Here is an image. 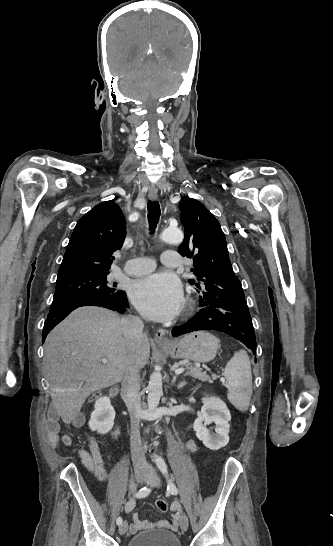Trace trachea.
<instances>
[{
	"instance_id": "obj_1",
	"label": "trachea",
	"mask_w": 333,
	"mask_h": 546,
	"mask_svg": "<svg viewBox=\"0 0 333 546\" xmlns=\"http://www.w3.org/2000/svg\"><path fill=\"white\" fill-rule=\"evenodd\" d=\"M148 222L149 226L154 232L160 217V205L157 201H148Z\"/></svg>"
}]
</instances>
